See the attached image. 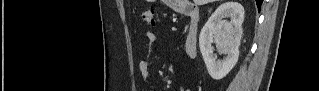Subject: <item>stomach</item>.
Segmentation results:
<instances>
[{
  "mask_svg": "<svg viewBox=\"0 0 319 91\" xmlns=\"http://www.w3.org/2000/svg\"><path fill=\"white\" fill-rule=\"evenodd\" d=\"M166 2H169L170 4H172V5H176V3H171V2H177V1H171V0H169V1H166Z\"/></svg>",
  "mask_w": 319,
  "mask_h": 91,
  "instance_id": "stomach-1",
  "label": "stomach"
}]
</instances>
